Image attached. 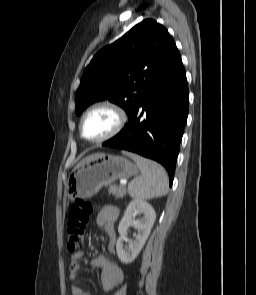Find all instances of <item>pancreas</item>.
Returning a JSON list of instances; mask_svg holds the SVG:
<instances>
[{
  "instance_id": "obj_1",
  "label": "pancreas",
  "mask_w": 256,
  "mask_h": 295,
  "mask_svg": "<svg viewBox=\"0 0 256 295\" xmlns=\"http://www.w3.org/2000/svg\"><path fill=\"white\" fill-rule=\"evenodd\" d=\"M108 191L116 198H123L127 193L126 186L124 185H110Z\"/></svg>"
}]
</instances>
